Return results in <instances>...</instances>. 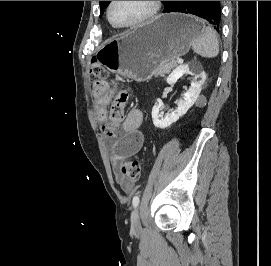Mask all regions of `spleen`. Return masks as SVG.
<instances>
[{"instance_id":"obj_1","label":"spleen","mask_w":271,"mask_h":266,"mask_svg":"<svg viewBox=\"0 0 271 266\" xmlns=\"http://www.w3.org/2000/svg\"><path fill=\"white\" fill-rule=\"evenodd\" d=\"M193 51L205 58H214L219 53L216 32L211 27H203L201 34L192 42Z\"/></svg>"}]
</instances>
